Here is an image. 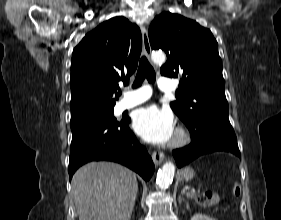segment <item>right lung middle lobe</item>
<instances>
[{"mask_svg": "<svg viewBox=\"0 0 281 220\" xmlns=\"http://www.w3.org/2000/svg\"><path fill=\"white\" fill-rule=\"evenodd\" d=\"M100 122L112 123V124H118L119 123L114 118L113 108L109 109V110H106V111H103V112L90 114V115H86V116H83V117L74 118V119H71V121H70L72 130H74L78 127H81V126H85V125H89V124H96V123H100Z\"/></svg>", "mask_w": 281, "mask_h": 220, "instance_id": "obj_1", "label": "right lung middle lobe"}]
</instances>
